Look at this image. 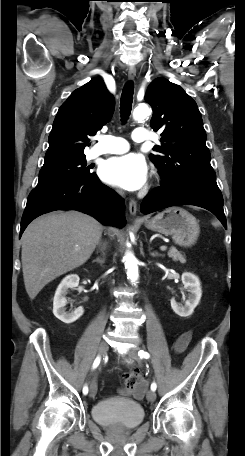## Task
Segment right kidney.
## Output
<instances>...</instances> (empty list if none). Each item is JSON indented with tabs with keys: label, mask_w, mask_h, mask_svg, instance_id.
<instances>
[{
	"label": "right kidney",
	"mask_w": 245,
	"mask_h": 456,
	"mask_svg": "<svg viewBox=\"0 0 245 456\" xmlns=\"http://www.w3.org/2000/svg\"><path fill=\"white\" fill-rule=\"evenodd\" d=\"M79 284V277L76 274L66 276L56 289L53 299V314L56 318L66 324H70L78 320L84 313L82 307H78L74 311L66 312L67 304L66 295L70 288H75Z\"/></svg>",
	"instance_id": "obj_1"
}]
</instances>
